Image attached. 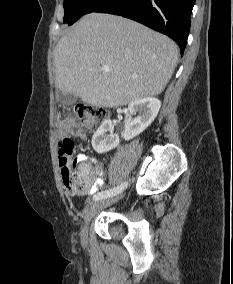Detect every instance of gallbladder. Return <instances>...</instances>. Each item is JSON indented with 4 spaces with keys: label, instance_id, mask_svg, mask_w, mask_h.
<instances>
[{
    "label": "gallbladder",
    "instance_id": "1",
    "mask_svg": "<svg viewBox=\"0 0 233 284\" xmlns=\"http://www.w3.org/2000/svg\"><path fill=\"white\" fill-rule=\"evenodd\" d=\"M77 99L78 96L75 94H63L62 92L59 93V101L66 105H71L75 103Z\"/></svg>",
    "mask_w": 233,
    "mask_h": 284
}]
</instances>
